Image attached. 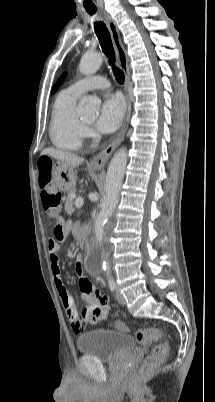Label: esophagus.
I'll return each instance as SVG.
<instances>
[{"label": "esophagus", "mask_w": 215, "mask_h": 402, "mask_svg": "<svg viewBox=\"0 0 215 402\" xmlns=\"http://www.w3.org/2000/svg\"><path fill=\"white\" fill-rule=\"evenodd\" d=\"M103 16L106 20L107 26L111 33L113 43L117 52L118 61L120 67L122 68L125 74V93L127 99V112L126 116L122 125V128L116 138L101 152L95 155L92 160L90 161V165L95 168H103L106 162L111 157L112 153L115 149L121 144L123 141L126 131L128 129V122L131 113V105H130V93H129V66H128V59L124 49V46L121 41V37L118 31V28L114 22V20L105 12H103Z\"/></svg>", "instance_id": "obj_1"}]
</instances>
